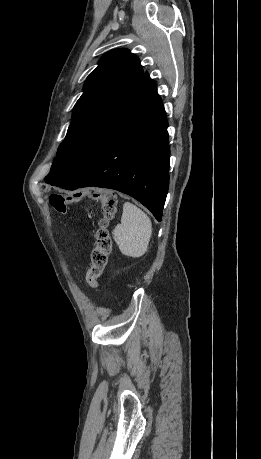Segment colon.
<instances>
[{"mask_svg":"<svg viewBox=\"0 0 261 459\" xmlns=\"http://www.w3.org/2000/svg\"><path fill=\"white\" fill-rule=\"evenodd\" d=\"M82 197H91L101 202L102 217L95 235V246L91 253V265L86 274V281L92 288H100V277L108 263L112 250V240L108 229L111 219L117 211V197L111 191H99L98 188H73L71 195L52 194L51 206L61 215H65L69 205Z\"/></svg>","mask_w":261,"mask_h":459,"instance_id":"obj_1","label":"colon"}]
</instances>
